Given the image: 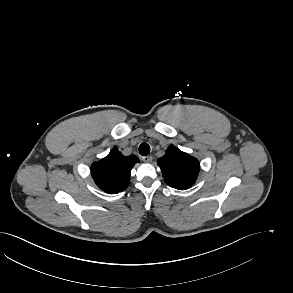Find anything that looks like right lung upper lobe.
Returning <instances> with one entry per match:
<instances>
[{"label":"right lung upper lobe","mask_w":293,"mask_h":293,"mask_svg":"<svg viewBox=\"0 0 293 293\" xmlns=\"http://www.w3.org/2000/svg\"><path fill=\"white\" fill-rule=\"evenodd\" d=\"M137 162L136 156H124L114 147L107 157L92 164L91 174L100 189L115 194L127 188L131 169Z\"/></svg>","instance_id":"obj_1"}]
</instances>
